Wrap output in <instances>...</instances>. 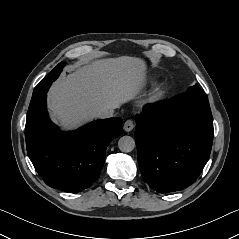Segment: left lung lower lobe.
<instances>
[{
  "instance_id": "obj_1",
  "label": "left lung lower lobe",
  "mask_w": 239,
  "mask_h": 239,
  "mask_svg": "<svg viewBox=\"0 0 239 239\" xmlns=\"http://www.w3.org/2000/svg\"><path fill=\"white\" fill-rule=\"evenodd\" d=\"M135 142L144 181L160 193L191 185L212 147L213 117L206 94L186 92L145 106Z\"/></svg>"
}]
</instances>
